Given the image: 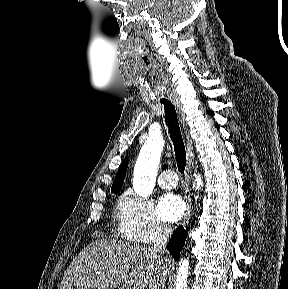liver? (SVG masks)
Listing matches in <instances>:
<instances>
[{"mask_svg":"<svg viewBox=\"0 0 288 289\" xmlns=\"http://www.w3.org/2000/svg\"><path fill=\"white\" fill-rule=\"evenodd\" d=\"M169 266L152 247L96 240L74 258L58 289H162Z\"/></svg>","mask_w":288,"mask_h":289,"instance_id":"6515ba94","label":"liver"}]
</instances>
